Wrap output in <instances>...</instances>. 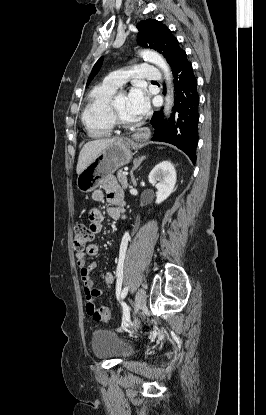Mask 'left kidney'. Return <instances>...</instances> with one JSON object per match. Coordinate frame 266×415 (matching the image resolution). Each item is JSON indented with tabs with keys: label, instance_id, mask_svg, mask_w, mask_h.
I'll use <instances>...</instances> for the list:
<instances>
[{
	"label": "left kidney",
	"instance_id": "obj_1",
	"mask_svg": "<svg viewBox=\"0 0 266 415\" xmlns=\"http://www.w3.org/2000/svg\"><path fill=\"white\" fill-rule=\"evenodd\" d=\"M149 182L157 188L156 204L166 200L176 184V170L170 161L157 164L148 176Z\"/></svg>",
	"mask_w": 266,
	"mask_h": 415
}]
</instances>
